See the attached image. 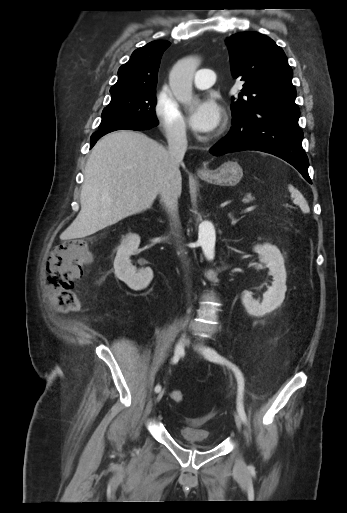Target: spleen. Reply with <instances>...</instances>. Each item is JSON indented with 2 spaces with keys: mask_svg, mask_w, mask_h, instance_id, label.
I'll return each mask as SVG.
<instances>
[{
  "mask_svg": "<svg viewBox=\"0 0 347 513\" xmlns=\"http://www.w3.org/2000/svg\"><path fill=\"white\" fill-rule=\"evenodd\" d=\"M288 190L291 194V198L293 199L294 204L298 205L302 212L308 213L310 211V208L308 206V203L306 199L303 197L301 192L295 188L292 184L288 185Z\"/></svg>",
  "mask_w": 347,
  "mask_h": 513,
  "instance_id": "1",
  "label": "spleen"
}]
</instances>
